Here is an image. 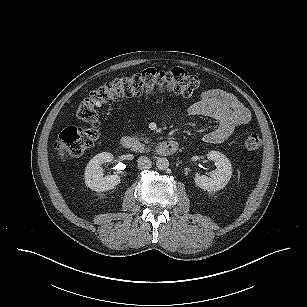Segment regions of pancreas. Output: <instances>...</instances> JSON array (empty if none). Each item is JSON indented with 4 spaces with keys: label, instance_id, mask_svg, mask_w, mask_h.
Segmentation results:
<instances>
[{
    "label": "pancreas",
    "instance_id": "obj_1",
    "mask_svg": "<svg viewBox=\"0 0 307 307\" xmlns=\"http://www.w3.org/2000/svg\"><path fill=\"white\" fill-rule=\"evenodd\" d=\"M140 141H143L144 143H146V144H148V143H150V140L151 139H149V138H144V137H140V138H138ZM146 150H148V149H146Z\"/></svg>",
    "mask_w": 307,
    "mask_h": 307
}]
</instances>
